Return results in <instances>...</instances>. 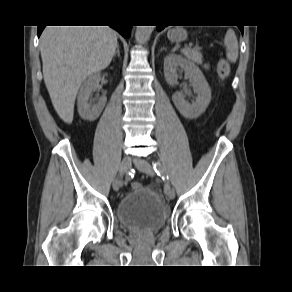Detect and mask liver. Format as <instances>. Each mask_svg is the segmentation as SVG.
<instances>
[{
	"label": "liver",
	"mask_w": 292,
	"mask_h": 292,
	"mask_svg": "<svg viewBox=\"0 0 292 292\" xmlns=\"http://www.w3.org/2000/svg\"><path fill=\"white\" fill-rule=\"evenodd\" d=\"M117 48V34L109 26H47L40 37L43 77L53 107L65 123H72L82 82L106 68Z\"/></svg>",
	"instance_id": "6515ba94"
}]
</instances>
